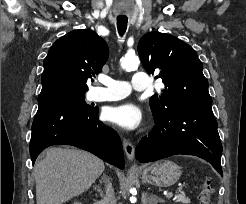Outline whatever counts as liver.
Returning <instances> with one entry per match:
<instances>
[{
  "label": "liver",
  "mask_w": 246,
  "mask_h": 204,
  "mask_svg": "<svg viewBox=\"0 0 246 204\" xmlns=\"http://www.w3.org/2000/svg\"><path fill=\"white\" fill-rule=\"evenodd\" d=\"M104 162L86 151L51 147L34 167L36 204H63L88 190Z\"/></svg>",
  "instance_id": "6515ba94"
}]
</instances>
